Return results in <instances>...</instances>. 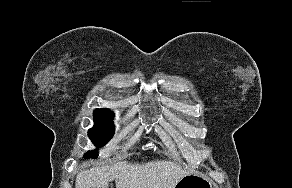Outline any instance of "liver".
<instances>
[{"label":"liver","mask_w":292,"mask_h":188,"mask_svg":"<svg viewBox=\"0 0 292 188\" xmlns=\"http://www.w3.org/2000/svg\"><path fill=\"white\" fill-rule=\"evenodd\" d=\"M190 172L167 160L147 163L121 161L113 165L81 171L75 188H107L115 180L116 188H174Z\"/></svg>","instance_id":"6515ba94"}]
</instances>
